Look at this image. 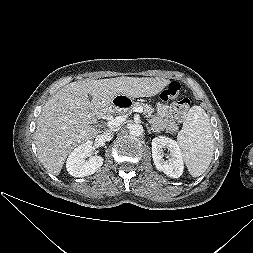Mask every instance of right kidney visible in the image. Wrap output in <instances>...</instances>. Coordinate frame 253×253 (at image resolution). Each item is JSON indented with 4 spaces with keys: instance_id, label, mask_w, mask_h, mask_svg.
I'll list each match as a JSON object with an SVG mask.
<instances>
[{
    "instance_id": "ca27d5eb",
    "label": "right kidney",
    "mask_w": 253,
    "mask_h": 253,
    "mask_svg": "<svg viewBox=\"0 0 253 253\" xmlns=\"http://www.w3.org/2000/svg\"><path fill=\"white\" fill-rule=\"evenodd\" d=\"M91 144L85 143L75 148L67 158L66 169L74 177H85L97 172L103 165L101 156H91ZM89 157L88 160L86 158Z\"/></svg>"
}]
</instances>
